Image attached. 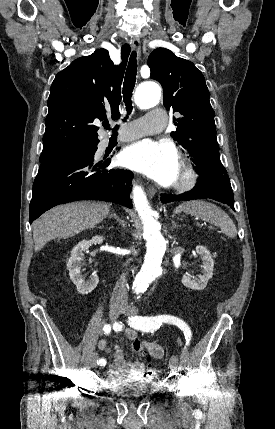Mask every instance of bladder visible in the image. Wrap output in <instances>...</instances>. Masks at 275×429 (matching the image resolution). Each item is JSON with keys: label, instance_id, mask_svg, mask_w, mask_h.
Returning <instances> with one entry per match:
<instances>
[{"label": "bladder", "instance_id": "obj_1", "mask_svg": "<svg viewBox=\"0 0 275 429\" xmlns=\"http://www.w3.org/2000/svg\"><path fill=\"white\" fill-rule=\"evenodd\" d=\"M109 387L114 398H145V393H157V384H148V378H114Z\"/></svg>", "mask_w": 275, "mask_h": 429}]
</instances>
